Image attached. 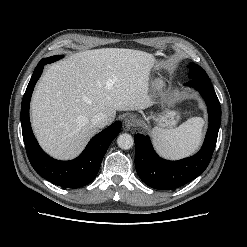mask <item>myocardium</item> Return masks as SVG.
Masks as SVG:
<instances>
[{"label":"myocardium","mask_w":247,"mask_h":247,"mask_svg":"<svg viewBox=\"0 0 247 247\" xmlns=\"http://www.w3.org/2000/svg\"><path fill=\"white\" fill-rule=\"evenodd\" d=\"M157 85H158V87H161L162 86V82H157Z\"/></svg>","instance_id":"f54148a6"}]
</instances>
